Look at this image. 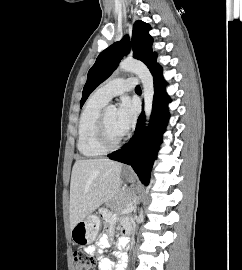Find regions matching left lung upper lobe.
Wrapping results in <instances>:
<instances>
[{"label":"left lung upper lobe","instance_id":"1","mask_svg":"<svg viewBox=\"0 0 242 270\" xmlns=\"http://www.w3.org/2000/svg\"><path fill=\"white\" fill-rule=\"evenodd\" d=\"M149 29L148 24L136 21L133 25L131 41L126 35L120 42L112 44L99 54L88 72L80 107L83 106L90 93L112 74L122 57L130 52V47L134 58L144 62L150 71L158 65L156 64L157 55L151 48L153 39L148 33Z\"/></svg>","mask_w":242,"mask_h":270}]
</instances>
